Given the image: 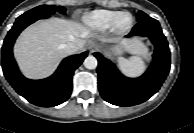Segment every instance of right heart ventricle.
<instances>
[{"instance_id": "e07e8e85", "label": "right heart ventricle", "mask_w": 194, "mask_h": 133, "mask_svg": "<svg viewBox=\"0 0 194 133\" xmlns=\"http://www.w3.org/2000/svg\"><path fill=\"white\" fill-rule=\"evenodd\" d=\"M119 13L118 10L97 9L86 16L85 22L93 29L106 31L111 29L113 20Z\"/></svg>"}]
</instances>
